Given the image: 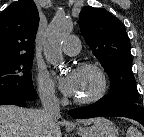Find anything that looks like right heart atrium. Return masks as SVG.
I'll use <instances>...</instances> for the list:
<instances>
[{"label": "right heart atrium", "instance_id": "obj_1", "mask_svg": "<svg viewBox=\"0 0 144 137\" xmlns=\"http://www.w3.org/2000/svg\"><path fill=\"white\" fill-rule=\"evenodd\" d=\"M35 80L40 99L48 105L58 103L55 82L47 69L37 66L35 68Z\"/></svg>", "mask_w": 144, "mask_h": 137}]
</instances>
